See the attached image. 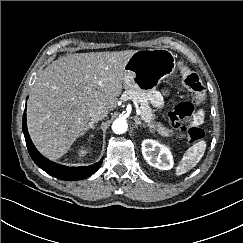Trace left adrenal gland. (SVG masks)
<instances>
[{"label": "left adrenal gland", "mask_w": 243, "mask_h": 243, "mask_svg": "<svg viewBox=\"0 0 243 243\" xmlns=\"http://www.w3.org/2000/svg\"><path fill=\"white\" fill-rule=\"evenodd\" d=\"M134 121H135V128H138L139 125H142L145 127V125L141 122V120L138 116L134 117Z\"/></svg>", "instance_id": "obj_1"}]
</instances>
